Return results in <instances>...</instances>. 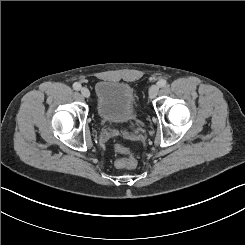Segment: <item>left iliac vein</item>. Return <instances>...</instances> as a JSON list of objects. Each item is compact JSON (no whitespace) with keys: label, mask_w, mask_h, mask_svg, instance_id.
Returning a JSON list of instances; mask_svg holds the SVG:
<instances>
[{"label":"left iliac vein","mask_w":245,"mask_h":245,"mask_svg":"<svg viewBox=\"0 0 245 245\" xmlns=\"http://www.w3.org/2000/svg\"><path fill=\"white\" fill-rule=\"evenodd\" d=\"M159 91V87L157 85H153L149 90V98L154 99L157 96Z\"/></svg>","instance_id":"obj_1"}]
</instances>
